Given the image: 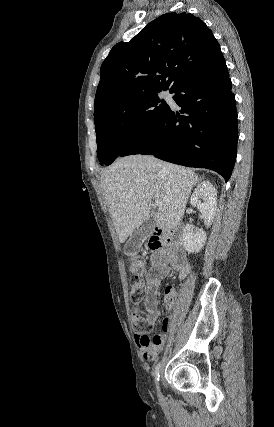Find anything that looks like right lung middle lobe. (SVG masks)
<instances>
[{
  "label": "right lung middle lobe",
  "instance_id": "dd1d6c3e",
  "mask_svg": "<svg viewBox=\"0 0 274 427\" xmlns=\"http://www.w3.org/2000/svg\"><path fill=\"white\" fill-rule=\"evenodd\" d=\"M168 109L157 93H151L121 100L94 116L100 164L110 165L126 147L146 136Z\"/></svg>",
  "mask_w": 274,
  "mask_h": 427
}]
</instances>
